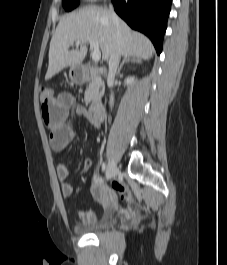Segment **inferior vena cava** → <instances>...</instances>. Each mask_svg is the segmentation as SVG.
<instances>
[{"mask_svg":"<svg viewBox=\"0 0 227 265\" xmlns=\"http://www.w3.org/2000/svg\"><path fill=\"white\" fill-rule=\"evenodd\" d=\"M110 11L112 14V19L114 21V23L116 24V32H115V51H113V53L111 54L110 58H109V72H108V78H107V83L108 85H111L114 83V79H115V74L117 71V67L120 61V57H121V44H122V34L119 28V18L116 15V13L113 10V6L110 5ZM114 103V97L113 94H111L110 96V106L112 107Z\"/></svg>","mask_w":227,"mask_h":265,"instance_id":"1","label":"inferior vena cava"}]
</instances>
